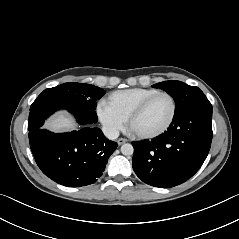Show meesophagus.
<instances>
[{
  "mask_svg": "<svg viewBox=\"0 0 239 239\" xmlns=\"http://www.w3.org/2000/svg\"><path fill=\"white\" fill-rule=\"evenodd\" d=\"M126 142H127V139H126V138H119V139L117 140L118 145H122V144H124V143H126Z\"/></svg>",
  "mask_w": 239,
  "mask_h": 239,
  "instance_id": "34e87169",
  "label": "esophagus"
}]
</instances>
